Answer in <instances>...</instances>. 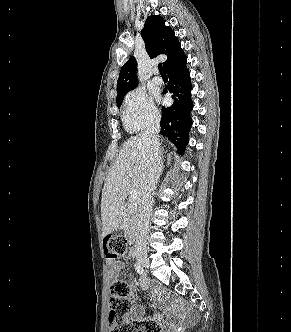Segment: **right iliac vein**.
I'll list each match as a JSON object with an SVG mask.
<instances>
[{
  "label": "right iliac vein",
  "mask_w": 291,
  "mask_h": 332,
  "mask_svg": "<svg viewBox=\"0 0 291 332\" xmlns=\"http://www.w3.org/2000/svg\"><path fill=\"white\" fill-rule=\"evenodd\" d=\"M138 262L146 268L149 267V259L147 257H138Z\"/></svg>",
  "instance_id": "63e3f726"
}]
</instances>
